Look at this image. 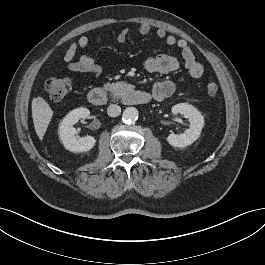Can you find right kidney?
I'll return each instance as SVG.
<instances>
[{
    "label": "right kidney",
    "instance_id": "ca27d5eb",
    "mask_svg": "<svg viewBox=\"0 0 265 265\" xmlns=\"http://www.w3.org/2000/svg\"><path fill=\"white\" fill-rule=\"evenodd\" d=\"M89 115L90 111L81 107L70 111L62 120L59 127V138L67 150L78 153L89 151L94 147L96 143L94 137L77 138L74 128L80 119H86Z\"/></svg>",
    "mask_w": 265,
    "mask_h": 265
}]
</instances>
